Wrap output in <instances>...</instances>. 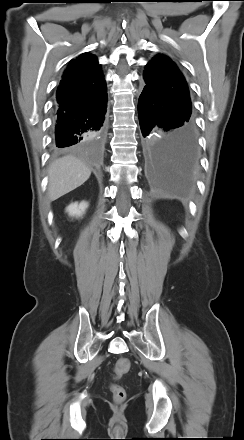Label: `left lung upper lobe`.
I'll list each match as a JSON object with an SVG mask.
<instances>
[{
    "label": "left lung upper lobe",
    "instance_id": "left-lung-upper-lobe-1",
    "mask_svg": "<svg viewBox=\"0 0 244 440\" xmlns=\"http://www.w3.org/2000/svg\"><path fill=\"white\" fill-rule=\"evenodd\" d=\"M146 86L173 104L179 110L191 114L188 86L174 62L165 55L155 56L145 67Z\"/></svg>",
    "mask_w": 244,
    "mask_h": 440
}]
</instances>
